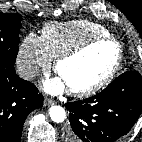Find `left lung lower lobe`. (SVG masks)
<instances>
[{"mask_svg":"<svg viewBox=\"0 0 142 142\" xmlns=\"http://www.w3.org/2000/svg\"><path fill=\"white\" fill-rule=\"evenodd\" d=\"M66 107L70 112L66 142L120 141L140 116L142 76L128 70L100 93L66 103Z\"/></svg>","mask_w":142,"mask_h":142,"instance_id":"1","label":"left lung lower lobe"}]
</instances>
